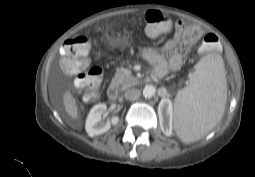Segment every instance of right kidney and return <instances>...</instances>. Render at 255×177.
Masks as SVG:
<instances>
[{"mask_svg": "<svg viewBox=\"0 0 255 177\" xmlns=\"http://www.w3.org/2000/svg\"><path fill=\"white\" fill-rule=\"evenodd\" d=\"M107 106L104 103L95 105L89 112L85 129L89 136L100 135L108 131L111 126L117 125L119 121L118 116H113L110 120L104 122L102 120V114L106 111Z\"/></svg>", "mask_w": 255, "mask_h": 177, "instance_id": "obj_1", "label": "right kidney"}]
</instances>
